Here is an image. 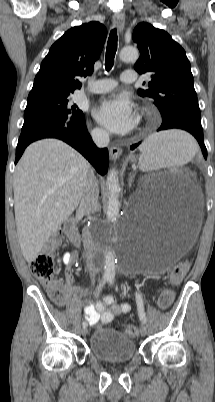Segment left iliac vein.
Segmentation results:
<instances>
[{"label": "left iliac vein", "instance_id": "left-iliac-vein-1", "mask_svg": "<svg viewBox=\"0 0 215 402\" xmlns=\"http://www.w3.org/2000/svg\"><path fill=\"white\" fill-rule=\"evenodd\" d=\"M140 334H141L142 336H146V334H147V326H146L145 324H142V325H141Z\"/></svg>", "mask_w": 215, "mask_h": 402}]
</instances>
